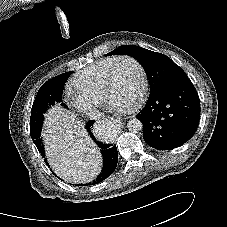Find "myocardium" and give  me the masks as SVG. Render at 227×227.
I'll return each instance as SVG.
<instances>
[{"label": "myocardium", "mask_w": 227, "mask_h": 227, "mask_svg": "<svg viewBox=\"0 0 227 227\" xmlns=\"http://www.w3.org/2000/svg\"><path fill=\"white\" fill-rule=\"evenodd\" d=\"M125 60H129V61L133 62L138 67L140 74H141V80H142L141 90H140L138 97L130 106H128V109L132 110V109H135L136 107H138L144 101V99L147 95L148 86H149L148 75H147L145 67L137 58H135L133 56L122 55V56L118 57L115 60V62L112 64V66L110 67V69L107 73L105 81H104L103 99L107 105H109V106L112 105L111 100H110V94H111V89H112V86L114 83L115 73H116V70H117L119 64Z\"/></svg>", "instance_id": "obj_1"}]
</instances>
